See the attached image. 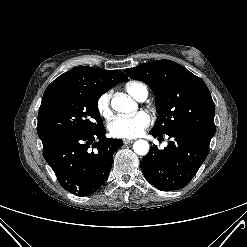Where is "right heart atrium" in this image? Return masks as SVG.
Masks as SVG:
<instances>
[{
  "mask_svg": "<svg viewBox=\"0 0 247 247\" xmlns=\"http://www.w3.org/2000/svg\"><path fill=\"white\" fill-rule=\"evenodd\" d=\"M96 109L100 116L108 118L112 113L111 108V92H103L96 101Z\"/></svg>",
  "mask_w": 247,
  "mask_h": 247,
  "instance_id": "1",
  "label": "right heart atrium"
}]
</instances>
